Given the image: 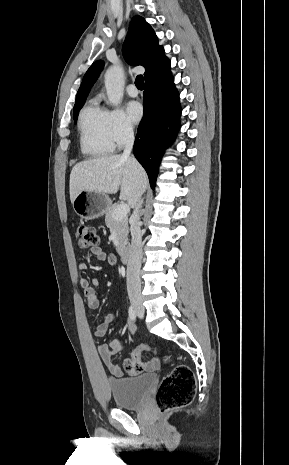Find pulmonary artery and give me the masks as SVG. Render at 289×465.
I'll list each match as a JSON object with an SVG mask.
<instances>
[{
	"label": "pulmonary artery",
	"instance_id": "1",
	"mask_svg": "<svg viewBox=\"0 0 289 465\" xmlns=\"http://www.w3.org/2000/svg\"><path fill=\"white\" fill-rule=\"evenodd\" d=\"M127 93L130 97H136L138 95V90L134 84H130L127 87Z\"/></svg>",
	"mask_w": 289,
	"mask_h": 465
}]
</instances>
